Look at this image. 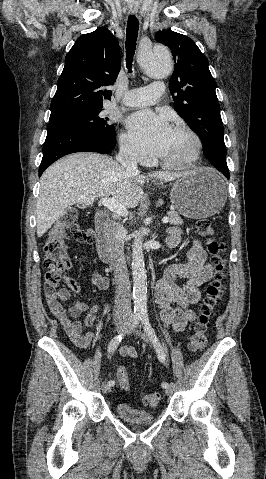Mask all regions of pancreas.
Masks as SVG:
<instances>
[{
	"label": "pancreas",
	"instance_id": "1",
	"mask_svg": "<svg viewBox=\"0 0 266 479\" xmlns=\"http://www.w3.org/2000/svg\"><path fill=\"white\" fill-rule=\"evenodd\" d=\"M167 214H168V217H169V223L170 224H173V225H182L183 224V220L181 219V217L179 216V214L176 211L171 210Z\"/></svg>",
	"mask_w": 266,
	"mask_h": 479
}]
</instances>
